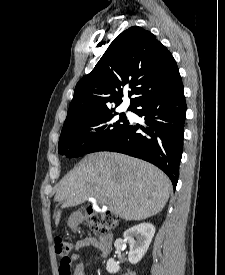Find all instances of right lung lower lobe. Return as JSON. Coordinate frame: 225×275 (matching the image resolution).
Listing matches in <instances>:
<instances>
[{
	"label": "right lung lower lobe",
	"mask_w": 225,
	"mask_h": 275,
	"mask_svg": "<svg viewBox=\"0 0 225 275\" xmlns=\"http://www.w3.org/2000/svg\"><path fill=\"white\" fill-rule=\"evenodd\" d=\"M130 110L144 117L146 126L128 123L97 151L120 152L153 163L169 176L175 188L186 114L182 80L143 98Z\"/></svg>",
	"instance_id": "right-lung-lower-lobe-1"
}]
</instances>
